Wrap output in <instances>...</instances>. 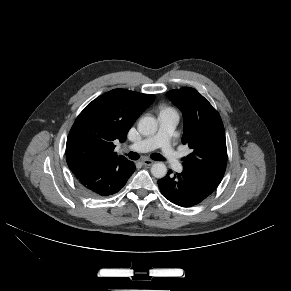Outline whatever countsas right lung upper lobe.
Returning a JSON list of instances; mask_svg holds the SVG:
<instances>
[{
	"instance_id": "obj_1",
	"label": "right lung upper lobe",
	"mask_w": 291,
	"mask_h": 291,
	"mask_svg": "<svg viewBox=\"0 0 291 291\" xmlns=\"http://www.w3.org/2000/svg\"><path fill=\"white\" fill-rule=\"evenodd\" d=\"M154 95L114 89L99 96L79 114L66 144L72 172L97 160L124 159L114 152L115 141L124 142L131 126L153 102Z\"/></svg>"
}]
</instances>
